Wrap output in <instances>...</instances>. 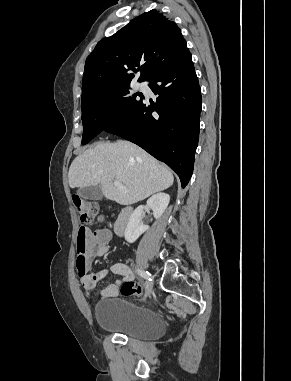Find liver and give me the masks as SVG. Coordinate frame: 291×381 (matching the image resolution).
Listing matches in <instances>:
<instances>
[{
  "label": "liver",
  "mask_w": 291,
  "mask_h": 381,
  "mask_svg": "<svg viewBox=\"0 0 291 381\" xmlns=\"http://www.w3.org/2000/svg\"><path fill=\"white\" fill-rule=\"evenodd\" d=\"M69 186L100 185L106 199L131 205L169 188L174 181L171 171L137 145L127 141L99 143L72 162ZM118 180L126 188L113 184Z\"/></svg>",
  "instance_id": "1"
}]
</instances>
